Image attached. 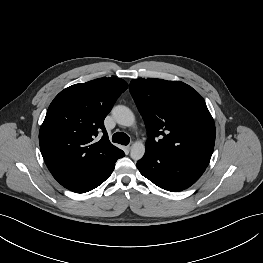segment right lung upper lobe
I'll return each instance as SVG.
<instances>
[{"instance_id":"obj_1","label":"right lung upper lobe","mask_w":263,"mask_h":263,"mask_svg":"<svg viewBox=\"0 0 263 263\" xmlns=\"http://www.w3.org/2000/svg\"><path fill=\"white\" fill-rule=\"evenodd\" d=\"M127 87L123 79H95L64 89L50 104L39 131L40 150L62 186L92 174L123 152L108 140L104 119ZM100 131L104 135L96 142Z\"/></svg>"}]
</instances>
